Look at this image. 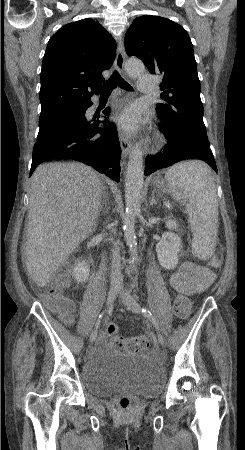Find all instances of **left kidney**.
I'll return each instance as SVG.
<instances>
[{"label":"left kidney","instance_id":"1","mask_svg":"<svg viewBox=\"0 0 245 450\" xmlns=\"http://www.w3.org/2000/svg\"><path fill=\"white\" fill-rule=\"evenodd\" d=\"M166 227L174 230L177 228V223L175 220L169 219L166 221ZM181 248V239L177 234L172 232L164 233L161 240L156 245V252L160 265L167 270L176 268L179 261L178 253Z\"/></svg>","mask_w":245,"mask_h":450}]
</instances>
